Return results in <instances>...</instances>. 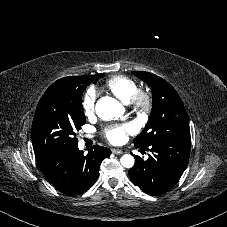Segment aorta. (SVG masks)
I'll return each mask as SVG.
<instances>
[{
	"mask_svg": "<svg viewBox=\"0 0 227 227\" xmlns=\"http://www.w3.org/2000/svg\"><path fill=\"white\" fill-rule=\"evenodd\" d=\"M96 114L102 120H112L121 117L124 114V107L114 98L102 97L96 103ZM120 162L125 168H132L134 165V157L125 154L121 157Z\"/></svg>",
	"mask_w": 227,
	"mask_h": 227,
	"instance_id": "762f6f07",
	"label": "aorta"
}]
</instances>
